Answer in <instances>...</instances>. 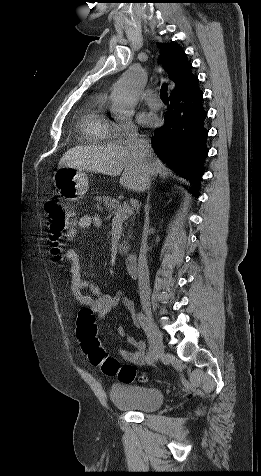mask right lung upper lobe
<instances>
[{
	"mask_svg": "<svg viewBox=\"0 0 261 476\" xmlns=\"http://www.w3.org/2000/svg\"><path fill=\"white\" fill-rule=\"evenodd\" d=\"M161 50L162 64L169 78L174 81L175 88L171 92L175 93L187 86L195 77L192 72V65L187 61L186 54L177 44L157 43Z\"/></svg>",
	"mask_w": 261,
	"mask_h": 476,
	"instance_id": "1",
	"label": "right lung upper lobe"
}]
</instances>
